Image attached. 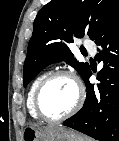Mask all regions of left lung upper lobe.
Listing matches in <instances>:
<instances>
[{"label":"left lung upper lobe","mask_w":119,"mask_h":141,"mask_svg":"<svg viewBox=\"0 0 119 141\" xmlns=\"http://www.w3.org/2000/svg\"><path fill=\"white\" fill-rule=\"evenodd\" d=\"M119 8V0H51L38 12L23 67L26 86L51 63L66 61L82 78L88 63L78 62L68 44L87 34L92 40Z\"/></svg>","instance_id":"1"}]
</instances>
